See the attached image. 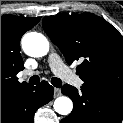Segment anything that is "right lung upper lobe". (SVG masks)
<instances>
[{
    "label": "right lung upper lobe",
    "instance_id": "cb5924a9",
    "mask_svg": "<svg viewBox=\"0 0 123 123\" xmlns=\"http://www.w3.org/2000/svg\"><path fill=\"white\" fill-rule=\"evenodd\" d=\"M39 21L38 17L1 16V96L21 93L30 87L26 82H18L16 77L24 69L20 40Z\"/></svg>",
    "mask_w": 123,
    "mask_h": 123
}]
</instances>
